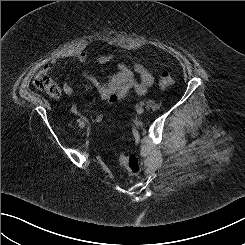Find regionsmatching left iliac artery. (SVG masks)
<instances>
[{"label":"left iliac artery","mask_w":245,"mask_h":245,"mask_svg":"<svg viewBox=\"0 0 245 245\" xmlns=\"http://www.w3.org/2000/svg\"><path fill=\"white\" fill-rule=\"evenodd\" d=\"M140 105H142V106H143V105H145V103H144L143 101H141V102H140Z\"/></svg>","instance_id":"left-iliac-artery-1"}]
</instances>
